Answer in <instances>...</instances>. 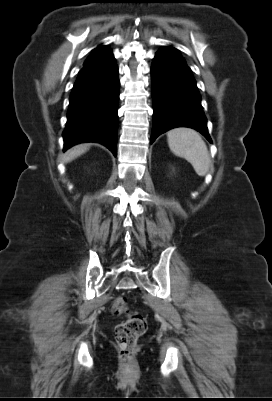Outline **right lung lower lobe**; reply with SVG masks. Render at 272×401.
Listing matches in <instances>:
<instances>
[{"mask_svg":"<svg viewBox=\"0 0 272 401\" xmlns=\"http://www.w3.org/2000/svg\"><path fill=\"white\" fill-rule=\"evenodd\" d=\"M118 67L112 51H92L79 72L70 95L64 151L83 142H98L117 155L119 104Z\"/></svg>","mask_w":272,"mask_h":401,"instance_id":"right-lung-lower-lobe-1","label":"right lung lower lobe"}]
</instances>
